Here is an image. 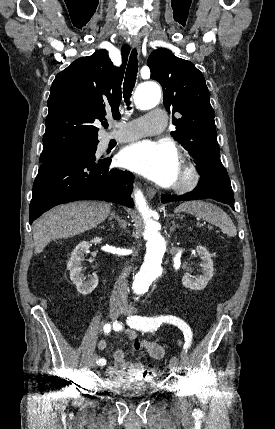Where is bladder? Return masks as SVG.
Listing matches in <instances>:
<instances>
[{"label": "bladder", "instance_id": "bladder-1", "mask_svg": "<svg viewBox=\"0 0 275 429\" xmlns=\"http://www.w3.org/2000/svg\"><path fill=\"white\" fill-rule=\"evenodd\" d=\"M115 398H144V393H156V384H148V378H116L109 381Z\"/></svg>", "mask_w": 275, "mask_h": 429}]
</instances>
